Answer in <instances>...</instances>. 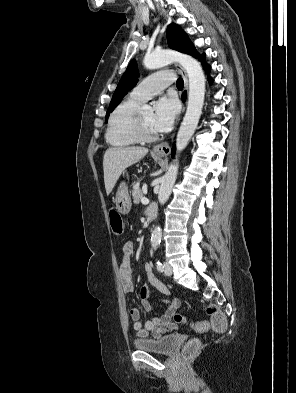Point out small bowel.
Wrapping results in <instances>:
<instances>
[{"instance_id":"small-bowel-1","label":"small bowel","mask_w":296,"mask_h":393,"mask_svg":"<svg viewBox=\"0 0 296 393\" xmlns=\"http://www.w3.org/2000/svg\"><path fill=\"white\" fill-rule=\"evenodd\" d=\"M132 256L133 243L127 241L122 248V258L119 266V277L125 293H133L134 291ZM145 272L147 281L152 286L164 295H170L169 289L154 276L151 264L147 263L145 265ZM138 300L140 306L132 308L129 315L133 322L134 330L139 336L147 337L152 335L153 337H159L177 329L171 318L180 306V300L178 298L164 300L165 307L162 310V314L146 322L141 321L142 313L154 311L155 307L153 303L160 302V300L152 296L145 286L141 288Z\"/></svg>"}]
</instances>
